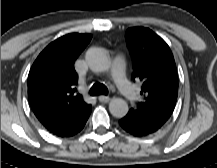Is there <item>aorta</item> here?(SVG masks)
<instances>
[{
	"mask_svg": "<svg viewBox=\"0 0 217 168\" xmlns=\"http://www.w3.org/2000/svg\"><path fill=\"white\" fill-rule=\"evenodd\" d=\"M85 60L92 71L104 72L110 67V59L107 53L97 47L90 48L85 55ZM128 104L121 98H112L109 103V111L116 118H122L128 113Z\"/></svg>",
	"mask_w": 217,
	"mask_h": 168,
	"instance_id": "762f6f07",
	"label": "aorta"
}]
</instances>
